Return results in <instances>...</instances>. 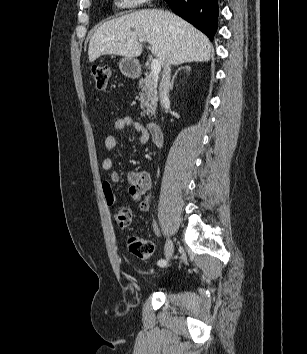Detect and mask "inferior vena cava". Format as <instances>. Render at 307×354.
Returning <instances> with one entry per match:
<instances>
[{"mask_svg": "<svg viewBox=\"0 0 307 354\" xmlns=\"http://www.w3.org/2000/svg\"><path fill=\"white\" fill-rule=\"evenodd\" d=\"M170 73V62L166 61L163 67L162 79L159 85V98L162 107L168 101V94L170 89Z\"/></svg>", "mask_w": 307, "mask_h": 354, "instance_id": "1", "label": "inferior vena cava"}]
</instances>
